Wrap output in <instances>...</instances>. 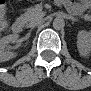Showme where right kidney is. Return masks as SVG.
Wrapping results in <instances>:
<instances>
[{"instance_id": "right-kidney-1", "label": "right kidney", "mask_w": 91, "mask_h": 91, "mask_svg": "<svg viewBox=\"0 0 91 91\" xmlns=\"http://www.w3.org/2000/svg\"><path fill=\"white\" fill-rule=\"evenodd\" d=\"M18 37L19 36L17 34H11L0 39V61L1 62L8 61L16 56L15 53L10 51L8 44L17 43Z\"/></svg>"}]
</instances>
